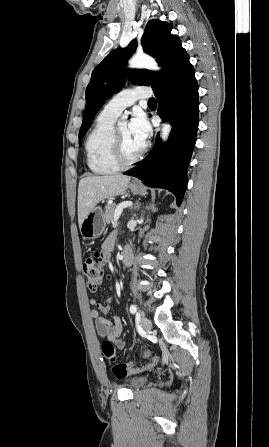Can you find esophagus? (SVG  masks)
<instances>
[{
    "label": "esophagus",
    "mask_w": 269,
    "mask_h": 447,
    "mask_svg": "<svg viewBox=\"0 0 269 447\" xmlns=\"http://www.w3.org/2000/svg\"><path fill=\"white\" fill-rule=\"evenodd\" d=\"M132 183H139V181L138 180H133Z\"/></svg>",
    "instance_id": "34e87169"
}]
</instances>
